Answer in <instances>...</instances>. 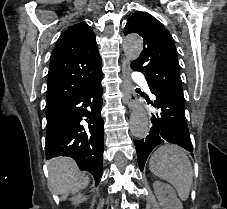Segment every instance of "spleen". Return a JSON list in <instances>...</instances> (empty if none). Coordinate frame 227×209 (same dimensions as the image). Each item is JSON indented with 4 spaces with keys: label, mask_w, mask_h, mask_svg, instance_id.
I'll use <instances>...</instances> for the list:
<instances>
[{
    "label": "spleen",
    "mask_w": 227,
    "mask_h": 209,
    "mask_svg": "<svg viewBox=\"0 0 227 209\" xmlns=\"http://www.w3.org/2000/svg\"><path fill=\"white\" fill-rule=\"evenodd\" d=\"M149 169L159 179L171 183L178 197L187 201L193 183V171L183 149L177 145H162L153 153Z\"/></svg>",
    "instance_id": "spleen-1"
}]
</instances>
